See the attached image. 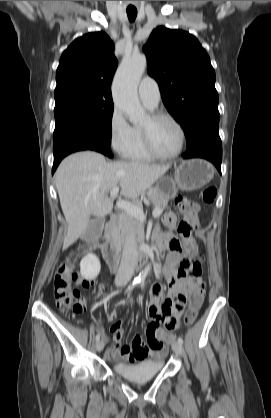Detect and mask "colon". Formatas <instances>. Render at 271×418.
Masks as SVG:
<instances>
[{
  "mask_svg": "<svg viewBox=\"0 0 271 418\" xmlns=\"http://www.w3.org/2000/svg\"><path fill=\"white\" fill-rule=\"evenodd\" d=\"M217 191L215 187H208L203 191V200L206 203H212L216 197ZM177 207L182 215V220L178 225L179 234L189 243L192 232L198 227V213L199 205L193 200L184 196H178L176 199ZM170 249L179 252L182 247L178 240L170 242ZM181 276L189 275L194 278H199L201 274V262L199 259L193 257H185L181 261L179 270ZM81 279L77 278L73 270L71 261L64 263L55 276V299L57 306L66 312H71L73 315H80L85 310V302L81 297L78 289L73 287L74 282ZM204 296V284L198 286L194 293L191 310L186 316V323L192 324L196 318L197 309L200 307ZM180 304H184L183 300H179Z\"/></svg>",
  "mask_w": 271,
  "mask_h": 418,
  "instance_id": "obj_1",
  "label": "colon"
}]
</instances>
